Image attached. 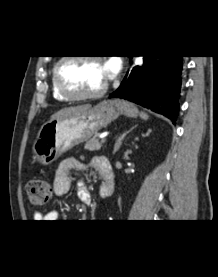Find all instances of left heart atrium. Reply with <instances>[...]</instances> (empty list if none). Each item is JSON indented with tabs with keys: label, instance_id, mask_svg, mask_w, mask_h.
<instances>
[{
	"label": "left heart atrium",
	"instance_id": "left-heart-atrium-1",
	"mask_svg": "<svg viewBox=\"0 0 218 277\" xmlns=\"http://www.w3.org/2000/svg\"><path fill=\"white\" fill-rule=\"evenodd\" d=\"M108 77H113L120 68V63L116 60L108 61L104 64Z\"/></svg>",
	"mask_w": 218,
	"mask_h": 277
}]
</instances>
